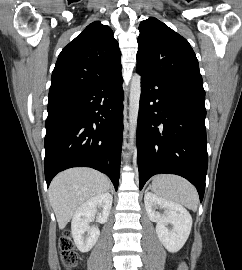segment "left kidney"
<instances>
[{"mask_svg":"<svg viewBox=\"0 0 242 270\" xmlns=\"http://www.w3.org/2000/svg\"><path fill=\"white\" fill-rule=\"evenodd\" d=\"M144 203L151 221L156 222V233L163 246L171 253L178 252L187 241L192 217L180 204L165 200L158 195L145 192ZM165 209L163 213L158 209ZM172 228L169 229L168 225Z\"/></svg>","mask_w":242,"mask_h":270,"instance_id":"5707ae66","label":"left kidney"}]
</instances>
